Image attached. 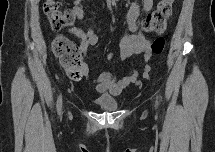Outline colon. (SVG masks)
Masks as SVG:
<instances>
[{
  "mask_svg": "<svg viewBox=\"0 0 215 152\" xmlns=\"http://www.w3.org/2000/svg\"><path fill=\"white\" fill-rule=\"evenodd\" d=\"M173 0H161L155 10L142 21V27L147 32H162L166 28L168 19L172 15ZM44 12L47 15L53 29L75 24L77 15L71 9H60V3L55 0H48L44 5ZM165 47L163 37L156 38L150 48L148 58L160 55ZM53 53L60 59L61 65L67 76L77 80L82 76L84 66V55L81 48L63 35H55L51 41Z\"/></svg>",
  "mask_w": 215,
  "mask_h": 152,
  "instance_id": "obj_1",
  "label": "colon"
}]
</instances>
